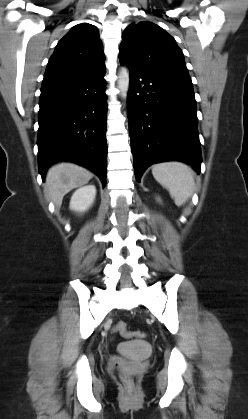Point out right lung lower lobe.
<instances>
[{"instance_id": "right-lung-lower-lobe-1", "label": "right lung lower lobe", "mask_w": 248, "mask_h": 419, "mask_svg": "<svg viewBox=\"0 0 248 419\" xmlns=\"http://www.w3.org/2000/svg\"><path fill=\"white\" fill-rule=\"evenodd\" d=\"M104 75L105 68L79 80L42 86L37 140L42 177L53 162L66 160L90 169L106 184Z\"/></svg>"}]
</instances>
